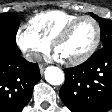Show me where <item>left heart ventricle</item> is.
Here are the masks:
<instances>
[{"mask_svg": "<svg viewBox=\"0 0 112 112\" xmlns=\"http://www.w3.org/2000/svg\"><path fill=\"white\" fill-rule=\"evenodd\" d=\"M95 38V27L90 20L80 21L69 36L58 44L55 52L64 60L81 57Z\"/></svg>", "mask_w": 112, "mask_h": 112, "instance_id": "1", "label": "left heart ventricle"}]
</instances>
